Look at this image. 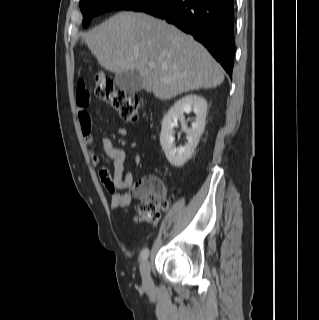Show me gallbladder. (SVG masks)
<instances>
[{"instance_id": "1", "label": "gallbladder", "mask_w": 319, "mask_h": 320, "mask_svg": "<svg viewBox=\"0 0 319 320\" xmlns=\"http://www.w3.org/2000/svg\"><path fill=\"white\" fill-rule=\"evenodd\" d=\"M116 85L125 93L132 94L142 89L141 77L137 72L126 71L115 75Z\"/></svg>"}]
</instances>
